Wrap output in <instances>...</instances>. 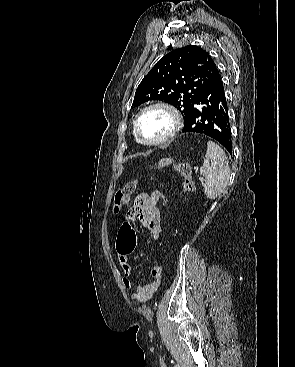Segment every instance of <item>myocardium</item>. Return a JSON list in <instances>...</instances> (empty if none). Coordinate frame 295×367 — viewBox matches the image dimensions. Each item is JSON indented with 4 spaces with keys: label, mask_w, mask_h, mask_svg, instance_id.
Here are the masks:
<instances>
[{
    "label": "myocardium",
    "mask_w": 295,
    "mask_h": 367,
    "mask_svg": "<svg viewBox=\"0 0 295 367\" xmlns=\"http://www.w3.org/2000/svg\"><path fill=\"white\" fill-rule=\"evenodd\" d=\"M153 109H162L166 111L172 119V128L167 135L163 138L153 141H147L143 139L139 132V122L141 117L148 111ZM181 128V117L179 112L170 104L164 102H156L143 107L136 115L133 123V130L136 139L143 145L146 146H160L170 142L176 137Z\"/></svg>",
    "instance_id": "1"
}]
</instances>
